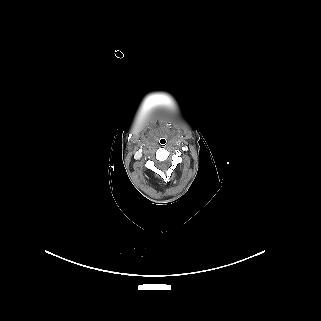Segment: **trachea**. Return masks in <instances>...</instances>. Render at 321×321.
I'll return each mask as SVG.
<instances>
[{
	"instance_id": "trachea-1",
	"label": "trachea",
	"mask_w": 321,
	"mask_h": 321,
	"mask_svg": "<svg viewBox=\"0 0 321 321\" xmlns=\"http://www.w3.org/2000/svg\"><path fill=\"white\" fill-rule=\"evenodd\" d=\"M160 143H161V145H166V143H167V139L165 138V137H162L161 139H160Z\"/></svg>"
}]
</instances>
